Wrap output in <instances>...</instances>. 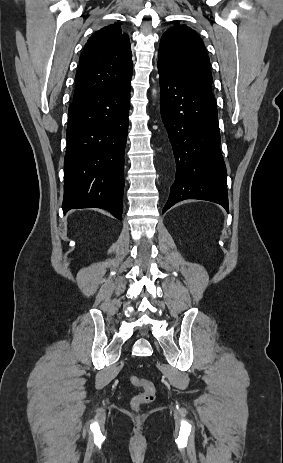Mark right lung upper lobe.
<instances>
[{
  "label": "right lung upper lobe",
  "instance_id": "cb5924a9",
  "mask_svg": "<svg viewBox=\"0 0 283 463\" xmlns=\"http://www.w3.org/2000/svg\"><path fill=\"white\" fill-rule=\"evenodd\" d=\"M131 57L129 36L119 23L95 32L80 56L73 100L130 80Z\"/></svg>",
  "mask_w": 283,
  "mask_h": 463
}]
</instances>
